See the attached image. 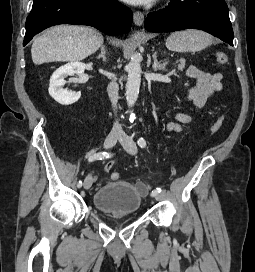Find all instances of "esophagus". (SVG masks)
<instances>
[{"mask_svg": "<svg viewBox=\"0 0 255 272\" xmlns=\"http://www.w3.org/2000/svg\"><path fill=\"white\" fill-rule=\"evenodd\" d=\"M134 23L135 25L137 26H141L143 24V21H144V14L140 11H136L134 12Z\"/></svg>", "mask_w": 255, "mask_h": 272, "instance_id": "esophagus-1", "label": "esophagus"}]
</instances>
